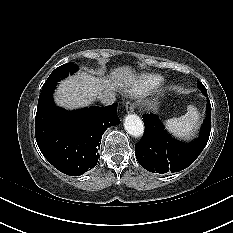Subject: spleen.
Wrapping results in <instances>:
<instances>
[{
    "label": "spleen",
    "instance_id": "3e777b00",
    "mask_svg": "<svg viewBox=\"0 0 233 233\" xmlns=\"http://www.w3.org/2000/svg\"><path fill=\"white\" fill-rule=\"evenodd\" d=\"M199 123L200 115L197 108L189 105L185 115L166 120L165 127L174 136L188 139L198 129Z\"/></svg>",
    "mask_w": 233,
    "mask_h": 233
}]
</instances>
